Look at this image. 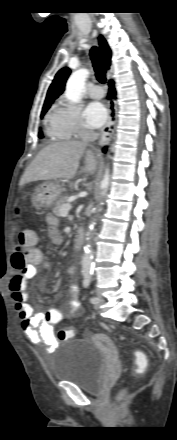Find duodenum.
I'll return each instance as SVG.
<instances>
[{
    "instance_id": "410a0bca",
    "label": "duodenum",
    "mask_w": 177,
    "mask_h": 440,
    "mask_svg": "<svg viewBox=\"0 0 177 440\" xmlns=\"http://www.w3.org/2000/svg\"><path fill=\"white\" fill-rule=\"evenodd\" d=\"M83 243H84V232L81 228H79L75 233L74 244H73L74 249L76 251L81 250Z\"/></svg>"
}]
</instances>
